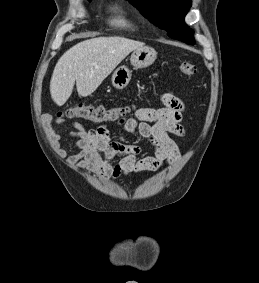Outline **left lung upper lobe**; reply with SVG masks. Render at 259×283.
<instances>
[{"label": "left lung upper lobe", "instance_id": "5c2ea615", "mask_svg": "<svg viewBox=\"0 0 259 283\" xmlns=\"http://www.w3.org/2000/svg\"><path fill=\"white\" fill-rule=\"evenodd\" d=\"M152 23L165 29L168 36L187 44H194L193 31L188 29L184 17L191 0H128Z\"/></svg>", "mask_w": 259, "mask_h": 283}]
</instances>
